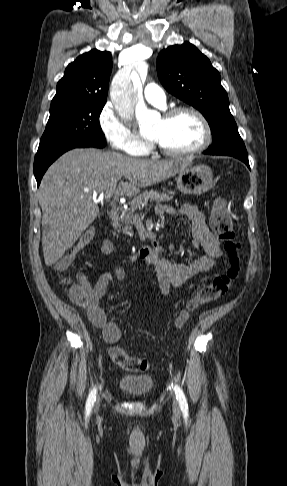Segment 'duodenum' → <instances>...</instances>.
Instances as JSON below:
<instances>
[{
	"label": "duodenum",
	"mask_w": 287,
	"mask_h": 486,
	"mask_svg": "<svg viewBox=\"0 0 287 486\" xmlns=\"http://www.w3.org/2000/svg\"><path fill=\"white\" fill-rule=\"evenodd\" d=\"M119 215V208L118 207H113L112 209L109 210L108 212V217L110 220H115L117 219ZM156 250V243H154L152 246H143L139 250V256L142 259H146L148 256H150L154 251Z\"/></svg>",
	"instance_id": "410a0bca"
}]
</instances>
